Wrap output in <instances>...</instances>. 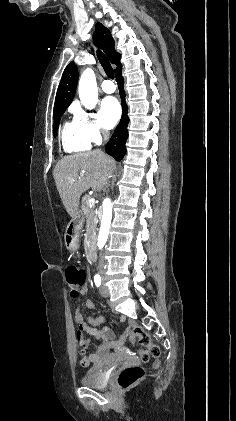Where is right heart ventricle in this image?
<instances>
[{"mask_svg":"<svg viewBox=\"0 0 236 421\" xmlns=\"http://www.w3.org/2000/svg\"><path fill=\"white\" fill-rule=\"evenodd\" d=\"M61 142L66 153H83L91 149V142L75 121L64 123Z\"/></svg>","mask_w":236,"mask_h":421,"instance_id":"right-heart-ventricle-1","label":"right heart ventricle"}]
</instances>
